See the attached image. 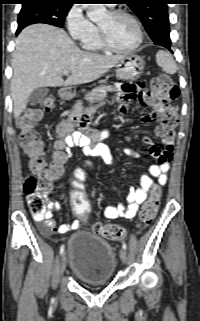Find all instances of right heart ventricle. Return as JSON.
<instances>
[{"mask_svg":"<svg viewBox=\"0 0 200 321\" xmlns=\"http://www.w3.org/2000/svg\"><path fill=\"white\" fill-rule=\"evenodd\" d=\"M81 45L84 49L92 52L102 51L104 48L101 46L98 36V30H95L81 40Z\"/></svg>","mask_w":200,"mask_h":321,"instance_id":"1","label":"right heart ventricle"}]
</instances>
